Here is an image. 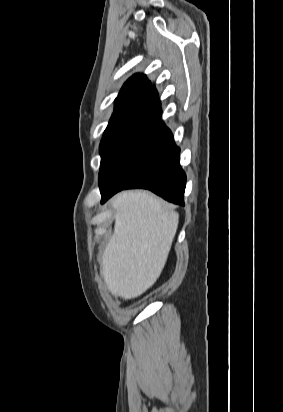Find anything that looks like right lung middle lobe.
Here are the masks:
<instances>
[{"label":"right lung middle lobe","instance_id":"right-lung-middle-lobe-1","mask_svg":"<svg viewBox=\"0 0 283 412\" xmlns=\"http://www.w3.org/2000/svg\"><path fill=\"white\" fill-rule=\"evenodd\" d=\"M160 117L161 114L123 115L110 119L100 143L99 180L138 145L145 132L159 121Z\"/></svg>","mask_w":283,"mask_h":412}]
</instances>
